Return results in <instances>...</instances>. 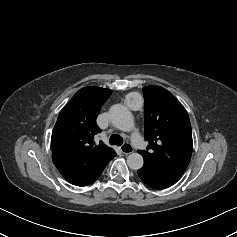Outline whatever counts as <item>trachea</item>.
Here are the masks:
<instances>
[{
	"label": "trachea",
	"mask_w": 237,
	"mask_h": 237,
	"mask_svg": "<svg viewBox=\"0 0 237 237\" xmlns=\"http://www.w3.org/2000/svg\"><path fill=\"white\" fill-rule=\"evenodd\" d=\"M109 142L111 145H122L123 144V138L119 135H111Z\"/></svg>",
	"instance_id": "trachea-1"
}]
</instances>
